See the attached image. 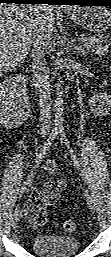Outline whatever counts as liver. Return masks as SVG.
I'll return each instance as SVG.
<instances>
[{"label": "liver", "mask_w": 111, "mask_h": 257, "mask_svg": "<svg viewBox=\"0 0 111 257\" xmlns=\"http://www.w3.org/2000/svg\"><path fill=\"white\" fill-rule=\"evenodd\" d=\"M53 7L48 5L0 6V72L5 74L20 65L38 34L53 32Z\"/></svg>", "instance_id": "6515ba94"}]
</instances>
